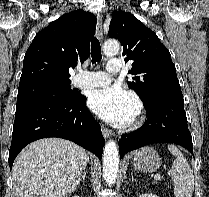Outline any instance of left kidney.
<instances>
[{"mask_svg": "<svg viewBox=\"0 0 209 197\" xmlns=\"http://www.w3.org/2000/svg\"><path fill=\"white\" fill-rule=\"evenodd\" d=\"M139 197H159V196L154 195V194H142Z\"/></svg>", "mask_w": 209, "mask_h": 197, "instance_id": "5707ae66", "label": "left kidney"}]
</instances>
